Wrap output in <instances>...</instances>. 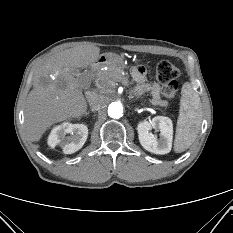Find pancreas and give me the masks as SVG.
<instances>
[{"label":"pancreas","mask_w":233,"mask_h":233,"mask_svg":"<svg viewBox=\"0 0 233 233\" xmlns=\"http://www.w3.org/2000/svg\"><path fill=\"white\" fill-rule=\"evenodd\" d=\"M96 80L103 90H111L116 82L127 84L128 80L123 75V70L117 67H109L108 70L100 71L96 75Z\"/></svg>","instance_id":"pancreas-1"}]
</instances>
